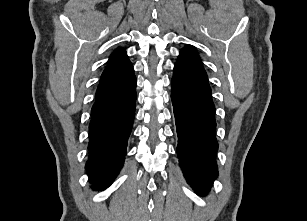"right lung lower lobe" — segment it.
Wrapping results in <instances>:
<instances>
[{"instance_id": "1", "label": "right lung lower lobe", "mask_w": 307, "mask_h": 221, "mask_svg": "<svg viewBox=\"0 0 307 221\" xmlns=\"http://www.w3.org/2000/svg\"><path fill=\"white\" fill-rule=\"evenodd\" d=\"M135 102L136 78L116 90L96 94L86 163L93 189L103 190L110 186L123 165Z\"/></svg>"}]
</instances>
